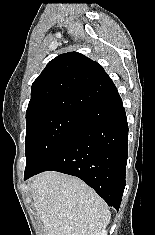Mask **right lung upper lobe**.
I'll use <instances>...</instances> for the list:
<instances>
[{"label":"right lung upper lobe","instance_id":"right-lung-upper-lobe-1","mask_svg":"<svg viewBox=\"0 0 155 235\" xmlns=\"http://www.w3.org/2000/svg\"><path fill=\"white\" fill-rule=\"evenodd\" d=\"M111 81L104 69L86 56L69 52L51 60L32 84L27 114L42 109H61L90 122L98 118L85 91Z\"/></svg>","mask_w":155,"mask_h":235}]
</instances>
